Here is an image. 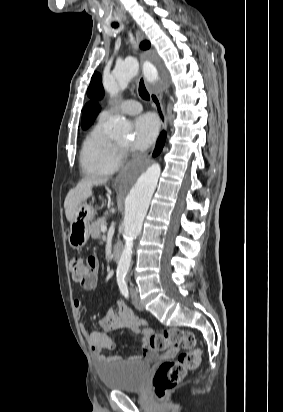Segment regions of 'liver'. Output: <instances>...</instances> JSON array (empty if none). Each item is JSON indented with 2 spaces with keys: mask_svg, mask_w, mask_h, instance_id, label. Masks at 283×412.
Masks as SVG:
<instances>
[{
  "mask_svg": "<svg viewBox=\"0 0 283 412\" xmlns=\"http://www.w3.org/2000/svg\"><path fill=\"white\" fill-rule=\"evenodd\" d=\"M108 178H85L80 181L74 189H71L64 202L65 215L71 223L78 206L92 196V187L94 185H103L107 183Z\"/></svg>",
  "mask_w": 283,
  "mask_h": 412,
  "instance_id": "liver-1",
  "label": "liver"
}]
</instances>
